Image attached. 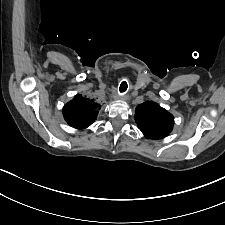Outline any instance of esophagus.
Instances as JSON below:
<instances>
[{
	"instance_id": "34e87169",
	"label": "esophagus",
	"mask_w": 225,
	"mask_h": 225,
	"mask_svg": "<svg viewBox=\"0 0 225 225\" xmlns=\"http://www.w3.org/2000/svg\"><path fill=\"white\" fill-rule=\"evenodd\" d=\"M121 98H123V99H127V96H125V95H121Z\"/></svg>"
}]
</instances>
